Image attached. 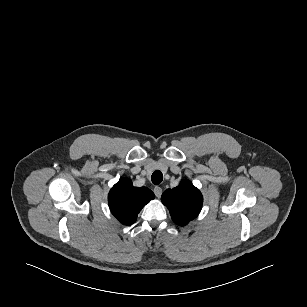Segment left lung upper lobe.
<instances>
[{"instance_id": "1", "label": "left lung upper lobe", "mask_w": 307, "mask_h": 307, "mask_svg": "<svg viewBox=\"0 0 307 307\" xmlns=\"http://www.w3.org/2000/svg\"><path fill=\"white\" fill-rule=\"evenodd\" d=\"M167 206L172 220L184 226L198 216L203 203L200 191L188 180H183L177 187L167 189L161 198Z\"/></svg>"}]
</instances>
